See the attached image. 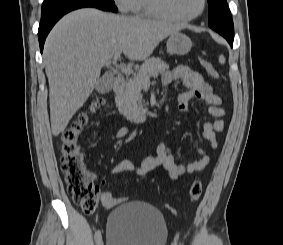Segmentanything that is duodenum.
<instances>
[{
  "label": "duodenum",
  "instance_id": "obj_1",
  "mask_svg": "<svg viewBox=\"0 0 283 245\" xmlns=\"http://www.w3.org/2000/svg\"><path fill=\"white\" fill-rule=\"evenodd\" d=\"M126 83V79L124 76L122 75H118L115 80H114V84H113V93L115 95V97L117 98L123 91L124 86ZM147 119L146 115H141L136 117L134 120L136 122H143Z\"/></svg>",
  "mask_w": 283,
  "mask_h": 245
}]
</instances>
